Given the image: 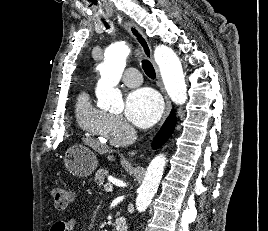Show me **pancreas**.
<instances>
[{"mask_svg":"<svg viewBox=\"0 0 268 231\" xmlns=\"http://www.w3.org/2000/svg\"><path fill=\"white\" fill-rule=\"evenodd\" d=\"M108 174L107 170L104 169H99L97 170L96 174H95V182L101 186L104 184V178L105 176Z\"/></svg>","mask_w":268,"mask_h":231,"instance_id":"pancreas-1","label":"pancreas"}]
</instances>
